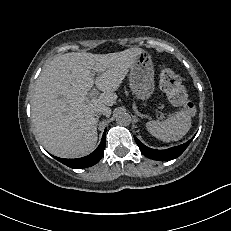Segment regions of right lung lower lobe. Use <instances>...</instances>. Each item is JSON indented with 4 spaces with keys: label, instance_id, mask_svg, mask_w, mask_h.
Instances as JSON below:
<instances>
[{
    "label": "right lung lower lobe",
    "instance_id": "right-lung-lower-lobe-1",
    "mask_svg": "<svg viewBox=\"0 0 231 231\" xmlns=\"http://www.w3.org/2000/svg\"><path fill=\"white\" fill-rule=\"evenodd\" d=\"M105 133L106 129L104 131V134L102 136V140L100 145L97 147L95 151H93L91 154L88 156L78 158V159H63V158H57L59 162L65 164L68 167L75 168V169H80V168H86L93 166L96 164L102 157L104 153V148H105Z\"/></svg>",
    "mask_w": 231,
    "mask_h": 231
}]
</instances>
